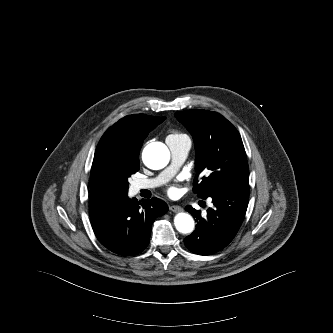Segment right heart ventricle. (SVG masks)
<instances>
[{"label":"right heart ventricle","instance_id":"1","mask_svg":"<svg viewBox=\"0 0 333 333\" xmlns=\"http://www.w3.org/2000/svg\"><path fill=\"white\" fill-rule=\"evenodd\" d=\"M167 139L183 140V139H189V138L187 135H185L183 133L173 131L168 135Z\"/></svg>","mask_w":333,"mask_h":333}]
</instances>
